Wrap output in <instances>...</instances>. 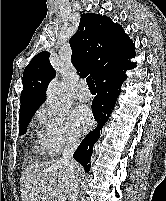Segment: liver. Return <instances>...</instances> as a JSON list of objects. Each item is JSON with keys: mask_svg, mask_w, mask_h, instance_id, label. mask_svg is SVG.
Here are the masks:
<instances>
[{"mask_svg": "<svg viewBox=\"0 0 166 201\" xmlns=\"http://www.w3.org/2000/svg\"><path fill=\"white\" fill-rule=\"evenodd\" d=\"M80 173L77 163L71 167L60 159L27 166L20 179L22 201H67Z\"/></svg>", "mask_w": 166, "mask_h": 201, "instance_id": "obj_1", "label": "liver"}]
</instances>
